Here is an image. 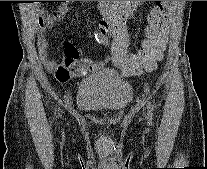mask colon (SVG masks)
<instances>
[{"mask_svg":"<svg viewBox=\"0 0 207 169\" xmlns=\"http://www.w3.org/2000/svg\"><path fill=\"white\" fill-rule=\"evenodd\" d=\"M168 6V1L156 2L148 16L145 26L146 37L138 52L128 54V42L126 40L110 44V49H113V58L119 67L133 74L146 69H155L156 62L162 57L167 40ZM102 35L106 38L111 37L110 33H102Z\"/></svg>","mask_w":207,"mask_h":169,"instance_id":"colon-1","label":"colon"}]
</instances>
